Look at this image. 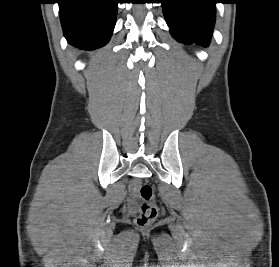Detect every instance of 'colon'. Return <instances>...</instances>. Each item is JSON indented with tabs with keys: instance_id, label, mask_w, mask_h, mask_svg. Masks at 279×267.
<instances>
[{
	"instance_id": "1",
	"label": "colon",
	"mask_w": 279,
	"mask_h": 267,
	"mask_svg": "<svg viewBox=\"0 0 279 267\" xmlns=\"http://www.w3.org/2000/svg\"><path fill=\"white\" fill-rule=\"evenodd\" d=\"M139 194L141 198L140 212L135 222L138 226L145 227L156 219L158 207L155 202L154 190L150 184H142Z\"/></svg>"
}]
</instances>
